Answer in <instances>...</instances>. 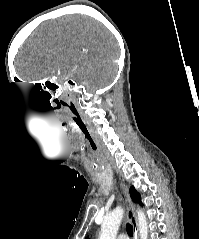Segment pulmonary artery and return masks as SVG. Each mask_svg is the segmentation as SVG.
Wrapping results in <instances>:
<instances>
[{
  "label": "pulmonary artery",
  "mask_w": 199,
  "mask_h": 239,
  "mask_svg": "<svg viewBox=\"0 0 199 239\" xmlns=\"http://www.w3.org/2000/svg\"><path fill=\"white\" fill-rule=\"evenodd\" d=\"M117 239H128L127 235L125 234H120Z\"/></svg>",
  "instance_id": "pulmonary-artery-1"
}]
</instances>
